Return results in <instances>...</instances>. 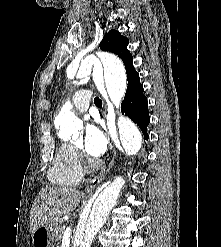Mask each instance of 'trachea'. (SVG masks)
I'll return each mask as SVG.
<instances>
[{"mask_svg": "<svg viewBox=\"0 0 221 247\" xmlns=\"http://www.w3.org/2000/svg\"><path fill=\"white\" fill-rule=\"evenodd\" d=\"M94 103L96 106L101 107L102 106V101L99 99V97L94 98Z\"/></svg>", "mask_w": 221, "mask_h": 247, "instance_id": "obj_1", "label": "trachea"}]
</instances>
